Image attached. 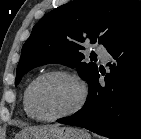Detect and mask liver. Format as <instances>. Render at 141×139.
I'll list each match as a JSON object with an SVG mask.
<instances>
[{
    "mask_svg": "<svg viewBox=\"0 0 141 139\" xmlns=\"http://www.w3.org/2000/svg\"><path fill=\"white\" fill-rule=\"evenodd\" d=\"M34 128H36V127H27V128H24L23 129V132L33 130Z\"/></svg>",
    "mask_w": 141,
    "mask_h": 139,
    "instance_id": "obj_1",
    "label": "liver"
}]
</instances>
